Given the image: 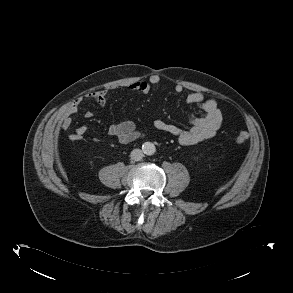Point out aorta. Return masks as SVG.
Instances as JSON below:
<instances>
[{
    "label": "aorta",
    "mask_w": 293,
    "mask_h": 293,
    "mask_svg": "<svg viewBox=\"0 0 293 293\" xmlns=\"http://www.w3.org/2000/svg\"><path fill=\"white\" fill-rule=\"evenodd\" d=\"M142 150L147 155H152L155 152V146L152 142H145L142 145Z\"/></svg>",
    "instance_id": "762f6f07"
}]
</instances>
